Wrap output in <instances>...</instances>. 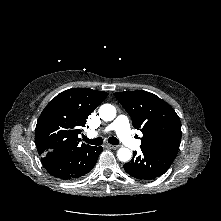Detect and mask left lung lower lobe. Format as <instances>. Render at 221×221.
I'll return each mask as SVG.
<instances>
[{
	"label": "left lung lower lobe",
	"instance_id": "obj_1",
	"mask_svg": "<svg viewBox=\"0 0 221 221\" xmlns=\"http://www.w3.org/2000/svg\"><path fill=\"white\" fill-rule=\"evenodd\" d=\"M142 155L134 152L130 162L124 165L125 171L140 180H152L163 175L171 166L176 156L141 148Z\"/></svg>",
	"mask_w": 221,
	"mask_h": 221
}]
</instances>
